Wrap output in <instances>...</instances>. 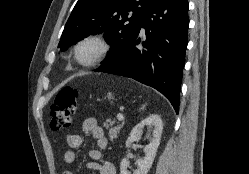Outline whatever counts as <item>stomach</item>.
Instances as JSON below:
<instances>
[{
	"label": "stomach",
	"instance_id": "0dacf381",
	"mask_svg": "<svg viewBox=\"0 0 249 174\" xmlns=\"http://www.w3.org/2000/svg\"><path fill=\"white\" fill-rule=\"evenodd\" d=\"M107 97H108L109 99H111V98H112V94H111V93H108Z\"/></svg>",
	"mask_w": 249,
	"mask_h": 174
}]
</instances>
